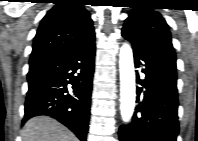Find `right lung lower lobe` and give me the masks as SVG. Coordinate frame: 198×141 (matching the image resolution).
I'll list each match as a JSON object with an SVG mask.
<instances>
[{"mask_svg":"<svg viewBox=\"0 0 198 141\" xmlns=\"http://www.w3.org/2000/svg\"><path fill=\"white\" fill-rule=\"evenodd\" d=\"M95 34L30 63L23 122L47 115L86 140L94 73ZM70 84V86H68Z\"/></svg>","mask_w":198,"mask_h":141,"instance_id":"98d812e1","label":"right lung lower lobe"}]
</instances>
